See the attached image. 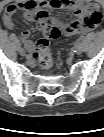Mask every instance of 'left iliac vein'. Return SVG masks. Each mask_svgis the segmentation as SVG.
<instances>
[{"instance_id":"1","label":"left iliac vein","mask_w":104,"mask_h":137,"mask_svg":"<svg viewBox=\"0 0 104 137\" xmlns=\"http://www.w3.org/2000/svg\"><path fill=\"white\" fill-rule=\"evenodd\" d=\"M74 50H75V53H76V54H81V53H82V47H81L80 45H77V46L74 48Z\"/></svg>"}]
</instances>
